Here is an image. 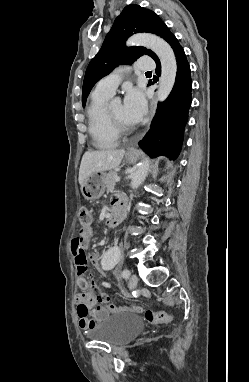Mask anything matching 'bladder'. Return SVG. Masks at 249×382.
Returning a JSON list of instances; mask_svg holds the SVG:
<instances>
[{"instance_id":"1","label":"bladder","mask_w":249,"mask_h":382,"mask_svg":"<svg viewBox=\"0 0 249 382\" xmlns=\"http://www.w3.org/2000/svg\"><path fill=\"white\" fill-rule=\"evenodd\" d=\"M143 328L144 321L138 314L117 313L103 319L96 327L89 330L87 336L111 346H118L135 338Z\"/></svg>"}]
</instances>
